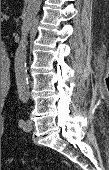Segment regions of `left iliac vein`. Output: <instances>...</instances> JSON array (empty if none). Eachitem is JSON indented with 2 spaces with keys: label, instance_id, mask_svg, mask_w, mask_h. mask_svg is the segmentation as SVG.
<instances>
[{
  "label": "left iliac vein",
  "instance_id": "left-iliac-vein-1",
  "mask_svg": "<svg viewBox=\"0 0 109 170\" xmlns=\"http://www.w3.org/2000/svg\"><path fill=\"white\" fill-rule=\"evenodd\" d=\"M33 128L31 120H26L25 124L23 125V130L26 132H30Z\"/></svg>",
  "mask_w": 109,
  "mask_h": 170
}]
</instances>
